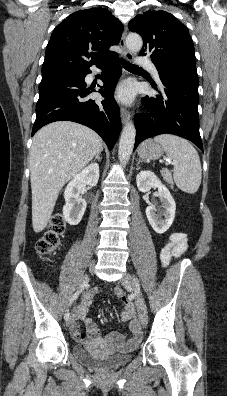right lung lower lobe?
I'll use <instances>...</instances> for the list:
<instances>
[{
    "label": "right lung lower lobe",
    "instance_id": "obj_1",
    "mask_svg": "<svg viewBox=\"0 0 227 396\" xmlns=\"http://www.w3.org/2000/svg\"><path fill=\"white\" fill-rule=\"evenodd\" d=\"M105 64H108L107 69L101 78L104 85L99 90L105 101L101 103L87 99L91 91L86 89L84 78L91 72L89 67L76 73H56L42 77L32 136L48 123L73 121L96 131L111 150L121 128L120 110L113 94L122 69L116 55L97 67Z\"/></svg>",
    "mask_w": 227,
    "mask_h": 396
}]
</instances>
